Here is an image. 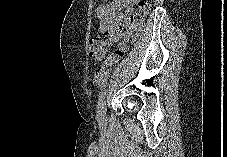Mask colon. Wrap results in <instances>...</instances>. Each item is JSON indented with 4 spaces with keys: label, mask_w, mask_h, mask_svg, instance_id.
I'll list each match as a JSON object with an SVG mask.
<instances>
[{
    "label": "colon",
    "mask_w": 227,
    "mask_h": 157,
    "mask_svg": "<svg viewBox=\"0 0 227 157\" xmlns=\"http://www.w3.org/2000/svg\"><path fill=\"white\" fill-rule=\"evenodd\" d=\"M150 3L148 0H137L136 11L130 17L129 24L125 29L124 39L118 44L116 49L107 56L108 40L105 37H94L90 41V55L99 62H102L98 71L94 75L96 86L102 87L106 84L112 65L125 53L128 44L134 41L150 11Z\"/></svg>",
    "instance_id": "5ec220e1"
}]
</instances>
